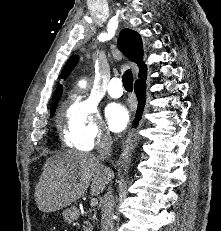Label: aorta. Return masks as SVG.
<instances>
[{
    "mask_svg": "<svg viewBox=\"0 0 221 231\" xmlns=\"http://www.w3.org/2000/svg\"><path fill=\"white\" fill-rule=\"evenodd\" d=\"M80 86H85V82L84 81L80 82Z\"/></svg>",
    "mask_w": 221,
    "mask_h": 231,
    "instance_id": "aorta-1",
    "label": "aorta"
}]
</instances>
